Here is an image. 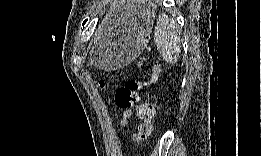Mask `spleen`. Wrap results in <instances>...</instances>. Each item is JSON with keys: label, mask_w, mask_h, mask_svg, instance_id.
I'll return each instance as SVG.
<instances>
[{"label": "spleen", "mask_w": 261, "mask_h": 156, "mask_svg": "<svg viewBox=\"0 0 261 156\" xmlns=\"http://www.w3.org/2000/svg\"><path fill=\"white\" fill-rule=\"evenodd\" d=\"M154 41L167 63H175L180 54V33L175 21L160 15L154 32Z\"/></svg>", "instance_id": "3e777b00"}]
</instances>
